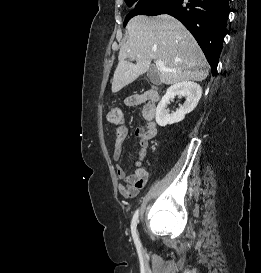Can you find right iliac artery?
<instances>
[{
	"instance_id": "right-iliac-artery-1",
	"label": "right iliac artery",
	"mask_w": 261,
	"mask_h": 273,
	"mask_svg": "<svg viewBox=\"0 0 261 273\" xmlns=\"http://www.w3.org/2000/svg\"><path fill=\"white\" fill-rule=\"evenodd\" d=\"M138 218H139V210H136L131 222V233H132V237L134 240V243L137 247H140V241L138 238V234H137V222H138Z\"/></svg>"
}]
</instances>
